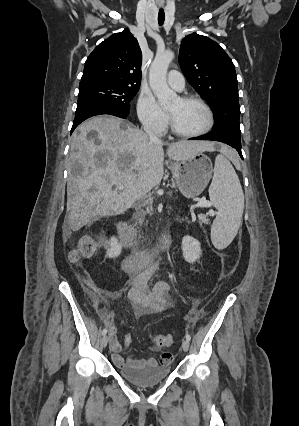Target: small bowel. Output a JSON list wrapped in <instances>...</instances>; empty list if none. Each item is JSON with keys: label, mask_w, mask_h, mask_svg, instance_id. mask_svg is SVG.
Here are the masks:
<instances>
[{"label": "small bowel", "mask_w": 299, "mask_h": 426, "mask_svg": "<svg viewBox=\"0 0 299 426\" xmlns=\"http://www.w3.org/2000/svg\"><path fill=\"white\" fill-rule=\"evenodd\" d=\"M157 263L144 266L139 270L133 280V285L129 291V299L133 310L136 314L150 315L166 310L171 304L170 286L165 281L156 283L153 287L148 285L149 278L157 268ZM114 313L107 312L105 314V323L110 329V349L112 352V361L119 369L139 368L157 366V361L152 358L134 359L131 357L124 358L121 351L124 346L130 343V336L125 333L123 342L117 339V327L114 324ZM172 361L170 352H163L160 356V364L168 365Z\"/></svg>", "instance_id": "obj_1"}]
</instances>
